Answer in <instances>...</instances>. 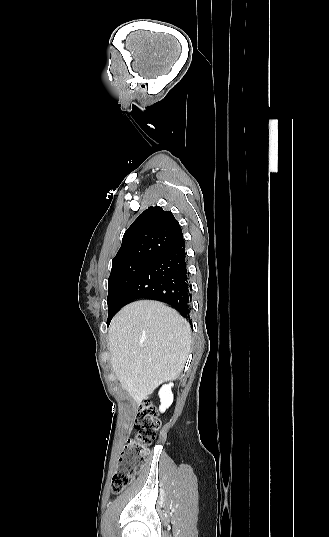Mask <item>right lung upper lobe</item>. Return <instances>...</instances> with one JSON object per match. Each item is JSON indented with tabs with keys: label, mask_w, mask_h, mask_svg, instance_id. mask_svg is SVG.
<instances>
[{
	"label": "right lung upper lobe",
	"mask_w": 329,
	"mask_h": 537,
	"mask_svg": "<svg viewBox=\"0 0 329 537\" xmlns=\"http://www.w3.org/2000/svg\"><path fill=\"white\" fill-rule=\"evenodd\" d=\"M182 240V229L173 214L151 206L125 232L122 245L112 260V270L131 261H152Z\"/></svg>",
	"instance_id": "right-lung-upper-lobe-1"
}]
</instances>
